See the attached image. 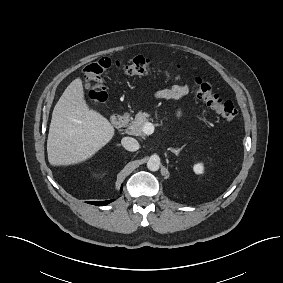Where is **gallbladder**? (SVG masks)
<instances>
[{"instance_id": "gallbladder-1", "label": "gallbladder", "mask_w": 283, "mask_h": 283, "mask_svg": "<svg viewBox=\"0 0 283 283\" xmlns=\"http://www.w3.org/2000/svg\"><path fill=\"white\" fill-rule=\"evenodd\" d=\"M85 87H86L87 89H89V88L91 87V84H90V83H86Z\"/></svg>"}]
</instances>
